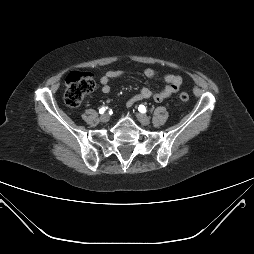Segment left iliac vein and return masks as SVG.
Masks as SVG:
<instances>
[{"label": "left iliac vein", "instance_id": "obj_1", "mask_svg": "<svg viewBox=\"0 0 254 254\" xmlns=\"http://www.w3.org/2000/svg\"><path fill=\"white\" fill-rule=\"evenodd\" d=\"M136 117L142 125L146 126V125L150 124V119L148 116L141 114V113H136Z\"/></svg>", "mask_w": 254, "mask_h": 254}]
</instances>
